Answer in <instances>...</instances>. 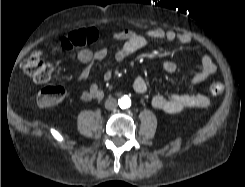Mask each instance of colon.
Here are the masks:
<instances>
[{
    "mask_svg": "<svg viewBox=\"0 0 245 187\" xmlns=\"http://www.w3.org/2000/svg\"><path fill=\"white\" fill-rule=\"evenodd\" d=\"M61 44L65 49H73L83 47L89 42L84 31L76 30L64 37ZM21 67L36 83H47L57 77L54 65L43 61L36 52L27 55L22 61ZM208 90L212 96H218L224 91V85L214 82L209 85ZM66 93L67 89L62 84L47 85L41 90L38 103L42 107H53L65 98Z\"/></svg>",
    "mask_w": 245,
    "mask_h": 187,
    "instance_id": "1",
    "label": "colon"
}]
</instances>
